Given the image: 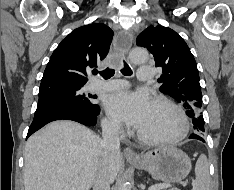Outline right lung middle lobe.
Listing matches in <instances>:
<instances>
[{
	"instance_id": "1",
	"label": "right lung middle lobe",
	"mask_w": 234,
	"mask_h": 190,
	"mask_svg": "<svg viewBox=\"0 0 234 190\" xmlns=\"http://www.w3.org/2000/svg\"><path fill=\"white\" fill-rule=\"evenodd\" d=\"M83 86L62 80L41 83L37 110L53 103L70 104L87 110L97 108L98 105L92 102L96 96L84 94L82 92Z\"/></svg>"
}]
</instances>
